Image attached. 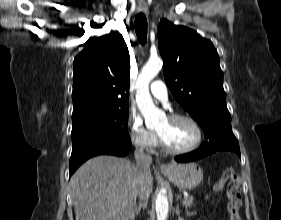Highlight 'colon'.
Listing matches in <instances>:
<instances>
[{"instance_id":"colon-1","label":"colon","mask_w":281,"mask_h":220,"mask_svg":"<svg viewBox=\"0 0 281 220\" xmlns=\"http://www.w3.org/2000/svg\"><path fill=\"white\" fill-rule=\"evenodd\" d=\"M225 184H227V210L230 220H241L240 208L242 206V198L240 193V176L232 167H227L223 171L220 179L214 185V190L220 191Z\"/></svg>"}]
</instances>
